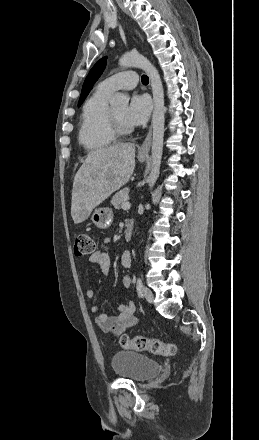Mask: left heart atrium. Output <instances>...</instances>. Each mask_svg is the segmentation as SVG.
Returning <instances> with one entry per match:
<instances>
[{
  "label": "left heart atrium",
  "instance_id": "left-heart-atrium-1",
  "mask_svg": "<svg viewBox=\"0 0 259 440\" xmlns=\"http://www.w3.org/2000/svg\"><path fill=\"white\" fill-rule=\"evenodd\" d=\"M152 104L145 94H134L127 107L125 120L129 126L143 125L149 118Z\"/></svg>",
  "mask_w": 259,
  "mask_h": 440
}]
</instances>
